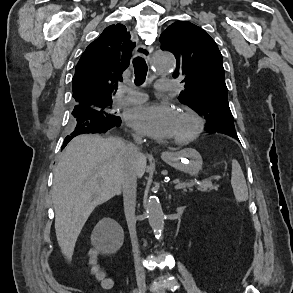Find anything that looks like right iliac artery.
I'll return each instance as SVG.
<instances>
[{
    "mask_svg": "<svg viewBox=\"0 0 293 293\" xmlns=\"http://www.w3.org/2000/svg\"><path fill=\"white\" fill-rule=\"evenodd\" d=\"M134 293H139L138 290H134Z\"/></svg>",
    "mask_w": 293,
    "mask_h": 293,
    "instance_id": "right-iliac-artery-1",
    "label": "right iliac artery"
}]
</instances>
